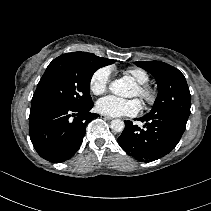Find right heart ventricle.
Instances as JSON below:
<instances>
[{"label":"right heart ventricle","mask_w":211,"mask_h":211,"mask_svg":"<svg viewBox=\"0 0 211 211\" xmlns=\"http://www.w3.org/2000/svg\"><path fill=\"white\" fill-rule=\"evenodd\" d=\"M124 74L133 78L138 84H144L149 81V74L141 68H129L125 70Z\"/></svg>","instance_id":"right-heart-ventricle-1"}]
</instances>
